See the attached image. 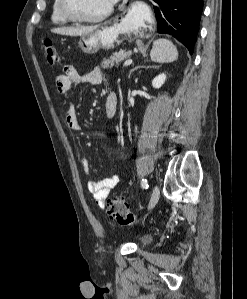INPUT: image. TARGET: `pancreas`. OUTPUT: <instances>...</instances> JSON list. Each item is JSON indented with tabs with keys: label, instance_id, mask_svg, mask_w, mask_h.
I'll return each instance as SVG.
<instances>
[{
	"label": "pancreas",
	"instance_id": "obj_1",
	"mask_svg": "<svg viewBox=\"0 0 247 299\" xmlns=\"http://www.w3.org/2000/svg\"><path fill=\"white\" fill-rule=\"evenodd\" d=\"M130 53L126 51H119L111 55L108 59H104L101 62V66L103 68L107 67H113L114 65H118L120 62H122L124 59L129 57Z\"/></svg>",
	"mask_w": 247,
	"mask_h": 299
}]
</instances>
